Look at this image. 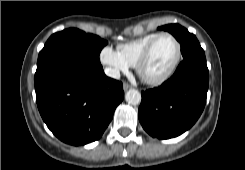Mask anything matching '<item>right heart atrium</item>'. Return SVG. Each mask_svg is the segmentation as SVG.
Wrapping results in <instances>:
<instances>
[{"mask_svg":"<svg viewBox=\"0 0 245 170\" xmlns=\"http://www.w3.org/2000/svg\"><path fill=\"white\" fill-rule=\"evenodd\" d=\"M100 61L106 66L108 76L116 78L121 72L128 70L129 64L123 59L118 50L106 46L101 50Z\"/></svg>","mask_w":245,"mask_h":170,"instance_id":"right-heart-atrium-1","label":"right heart atrium"}]
</instances>
